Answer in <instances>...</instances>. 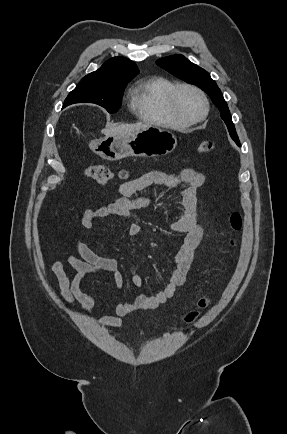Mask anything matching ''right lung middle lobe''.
Instances as JSON below:
<instances>
[{"mask_svg":"<svg viewBox=\"0 0 287 434\" xmlns=\"http://www.w3.org/2000/svg\"><path fill=\"white\" fill-rule=\"evenodd\" d=\"M128 82L82 79L69 93L63 107L73 103H95L104 107L109 113H115L121 107L123 91Z\"/></svg>","mask_w":287,"mask_h":434,"instance_id":"obj_1","label":"right lung middle lobe"}]
</instances>
